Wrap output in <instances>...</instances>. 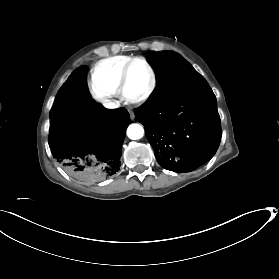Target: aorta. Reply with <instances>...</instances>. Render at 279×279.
I'll return each mask as SVG.
<instances>
[{"label":"aorta","mask_w":279,"mask_h":279,"mask_svg":"<svg viewBox=\"0 0 279 279\" xmlns=\"http://www.w3.org/2000/svg\"><path fill=\"white\" fill-rule=\"evenodd\" d=\"M144 135V129L139 124H131L127 128V136L132 140H138Z\"/></svg>","instance_id":"aorta-1"}]
</instances>
